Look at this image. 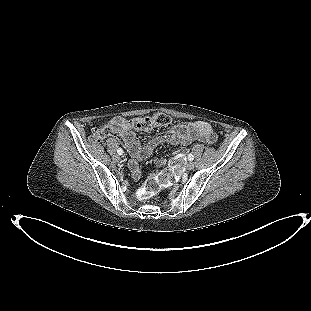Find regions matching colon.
Here are the masks:
<instances>
[{
    "label": "colon",
    "instance_id": "5ec220e1",
    "mask_svg": "<svg viewBox=\"0 0 311 311\" xmlns=\"http://www.w3.org/2000/svg\"><path fill=\"white\" fill-rule=\"evenodd\" d=\"M171 123V117L164 113H156L149 117L137 119H125V126L138 129H152L155 127L166 126ZM121 124L118 121L109 122L107 125L95 128L92 131L91 139L94 142H100L111 135L119 132ZM179 164L172 160L168 168L162 170L153 177L145 181L138 191L140 199H146L157 194L162 188L170 185L176 178Z\"/></svg>",
    "mask_w": 311,
    "mask_h": 311
}]
</instances>
